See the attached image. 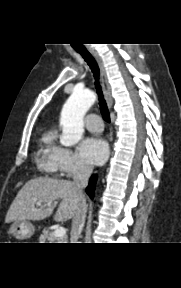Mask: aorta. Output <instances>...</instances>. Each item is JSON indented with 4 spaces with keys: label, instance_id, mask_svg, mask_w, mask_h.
Returning <instances> with one entry per match:
<instances>
[{
    "label": "aorta",
    "instance_id": "1",
    "mask_svg": "<svg viewBox=\"0 0 181 288\" xmlns=\"http://www.w3.org/2000/svg\"><path fill=\"white\" fill-rule=\"evenodd\" d=\"M95 94L89 90L75 89L63 106L60 117L62 135L60 143L72 146L80 141L84 133L83 118L95 102Z\"/></svg>",
    "mask_w": 181,
    "mask_h": 288
}]
</instances>
